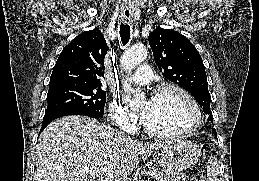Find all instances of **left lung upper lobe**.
Masks as SVG:
<instances>
[{
    "label": "left lung upper lobe",
    "instance_id": "1",
    "mask_svg": "<svg viewBox=\"0 0 259 181\" xmlns=\"http://www.w3.org/2000/svg\"><path fill=\"white\" fill-rule=\"evenodd\" d=\"M148 40L162 75L190 92L212 122L205 67L195 46L179 32L160 27ZM212 132L217 136L215 128Z\"/></svg>",
    "mask_w": 259,
    "mask_h": 181
}]
</instances>
